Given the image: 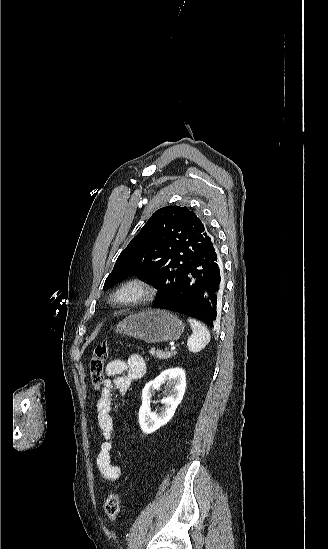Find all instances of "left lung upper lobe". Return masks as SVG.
<instances>
[{
    "instance_id": "left-lung-upper-lobe-1",
    "label": "left lung upper lobe",
    "mask_w": 328,
    "mask_h": 549,
    "mask_svg": "<svg viewBox=\"0 0 328 549\" xmlns=\"http://www.w3.org/2000/svg\"><path fill=\"white\" fill-rule=\"evenodd\" d=\"M211 244L212 238L193 211L163 207L120 253L103 288L136 274L158 289L159 300L172 292L188 265Z\"/></svg>"
}]
</instances>
